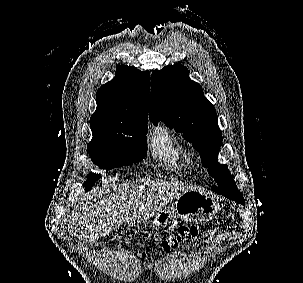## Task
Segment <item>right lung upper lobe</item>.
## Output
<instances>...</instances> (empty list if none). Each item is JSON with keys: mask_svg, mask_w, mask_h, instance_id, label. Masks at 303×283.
Here are the masks:
<instances>
[{"mask_svg": "<svg viewBox=\"0 0 303 283\" xmlns=\"http://www.w3.org/2000/svg\"><path fill=\"white\" fill-rule=\"evenodd\" d=\"M150 74L135 67H117L113 80L96 93L97 109L90 118L91 130L118 129L148 123Z\"/></svg>", "mask_w": 303, "mask_h": 283, "instance_id": "right-lung-upper-lobe-1", "label": "right lung upper lobe"}]
</instances>
